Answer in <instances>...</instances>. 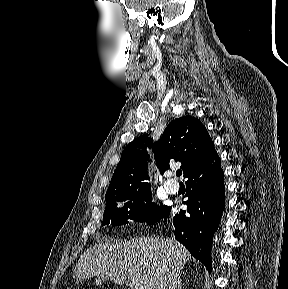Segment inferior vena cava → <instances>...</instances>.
Masks as SVG:
<instances>
[{
    "mask_svg": "<svg viewBox=\"0 0 288 289\" xmlns=\"http://www.w3.org/2000/svg\"><path fill=\"white\" fill-rule=\"evenodd\" d=\"M180 269L175 262H169L165 267L159 283V289H178L180 285Z\"/></svg>",
    "mask_w": 288,
    "mask_h": 289,
    "instance_id": "inferior-vena-cava-1",
    "label": "inferior vena cava"
}]
</instances>
